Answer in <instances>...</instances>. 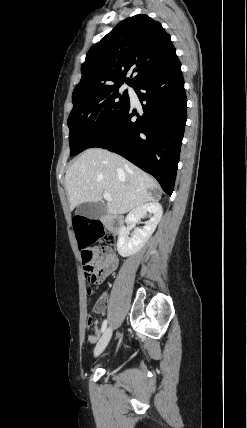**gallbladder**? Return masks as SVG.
Returning <instances> with one entry per match:
<instances>
[{
  "instance_id": "bac80fb5",
  "label": "gallbladder",
  "mask_w": 247,
  "mask_h": 428,
  "mask_svg": "<svg viewBox=\"0 0 247 428\" xmlns=\"http://www.w3.org/2000/svg\"><path fill=\"white\" fill-rule=\"evenodd\" d=\"M106 208V204L101 202H85L77 207L76 215L83 216L88 219H98L105 214Z\"/></svg>"
}]
</instances>
